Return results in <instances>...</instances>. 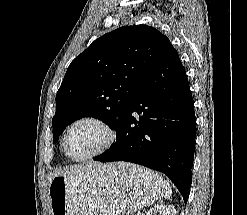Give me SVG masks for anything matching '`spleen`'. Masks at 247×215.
Masks as SVG:
<instances>
[{"label": "spleen", "mask_w": 247, "mask_h": 215, "mask_svg": "<svg viewBox=\"0 0 247 215\" xmlns=\"http://www.w3.org/2000/svg\"><path fill=\"white\" fill-rule=\"evenodd\" d=\"M162 194L165 199H169L172 194V189L168 181H162Z\"/></svg>", "instance_id": "1"}]
</instances>
